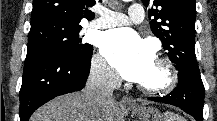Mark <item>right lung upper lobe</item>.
<instances>
[{"label": "right lung upper lobe", "instance_id": "cb5924a9", "mask_svg": "<svg viewBox=\"0 0 217 121\" xmlns=\"http://www.w3.org/2000/svg\"><path fill=\"white\" fill-rule=\"evenodd\" d=\"M93 5L95 0H33L31 23L53 19L79 24L82 18H94V13L88 10Z\"/></svg>", "mask_w": 217, "mask_h": 121}]
</instances>
